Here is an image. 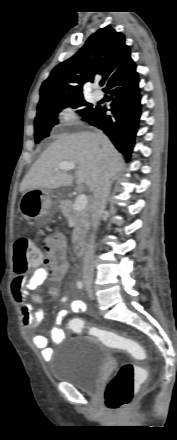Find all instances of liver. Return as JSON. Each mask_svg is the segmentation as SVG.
<instances>
[{
  "mask_svg": "<svg viewBox=\"0 0 177 440\" xmlns=\"http://www.w3.org/2000/svg\"><path fill=\"white\" fill-rule=\"evenodd\" d=\"M61 162L75 163L77 185L84 183L91 191L102 167L106 169L108 177L113 178L124 165L122 155L104 134H70L56 140L42 153L24 177L20 192L70 186L73 176L65 170L55 171Z\"/></svg>",
  "mask_w": 177,
  "mask_h": 440,
  "instance_id": "6515ba94",
  "label": "liver"
}]
</instances>
